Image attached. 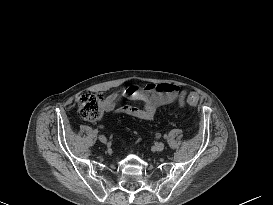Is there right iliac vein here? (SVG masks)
Wrapping results in <instances>:
<instances>
[{
  "instance_id": "63e3f726",
  "label": "right iliac vein",
  "mask_w": 273,
  "mask_h": 205,
  "mask_svg": "<svg viewBox=\"0 0 273 205\" xmlns=\"http://www.w3.org/2000/svg\"><path fill=\"white\" fill-rule=\"evenodd\" d=\"M99 140H100V142H102V143H104V144H106V142H107V138L104 136V135H99Z\"/></svg>"
}]
</instances>
